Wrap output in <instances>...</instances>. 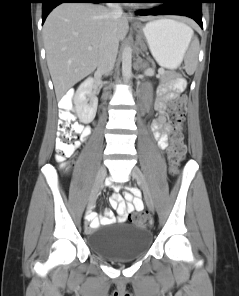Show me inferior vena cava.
Instances as JSON below:
<instances>
[{
  "label": "inferior vena cava",
  "mask_w": 239,
  "mask_h": 296,
  "mask_svg": "<svg viewBox=\"0 0 239 296\" xmlns=\"http://www.w3.org/2000/svg\"><path fill=\"white\" fill-rule=\"evenodd\" d=\"M111 15L119 17L123 14L122 8L119 3H108ZM119 42L115 37H109L102 44L99 51L98 58V72L103 75H108L114 68L117 57Z\"/></svg>",
  "instance_id": "602c4592"
}]
</instances>
